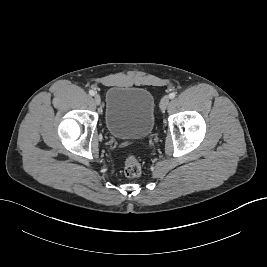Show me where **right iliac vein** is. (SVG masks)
I'll return each mask as SVG.
<instances>
[{
  "label": "right iliac vein",
  "instance_id": "1",
  "mask_svg": "<svg viewBox=\"0 0 267 267\" xmlns=\"http://www.w3.org/2000/svg\"><path fill=\"white\" fill-rule=\"evenodd\" d=\"M94 100H95V103H96L97 105H99L100 102H101V98H100V96H99L98 94L94 95Z\"/></svg>",
  "mask_w": 267,
  "mask_h": 267
}]
</instances>
